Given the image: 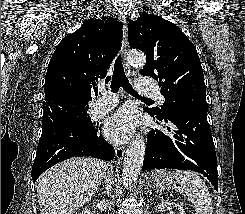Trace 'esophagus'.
Wrapping results in <instances>:
<instances>
[{"label":"esophagus","mask_w":245,"mask_h":214,"mask_svg":"<svg viewBox=\"0 0 245 214\" xmlns=\"http://www.w3.org/2000/svg\"><path fill=\"white\" fill-rule=\"evenodd\" d=\"M119 21L122 23L123 26V41H122V50H121V56L124 62L126 74L128 76H131V68L129 64L126 61L127 56V50H128V40H127V25H126V18L123 15H119ZM125 153L124 147L116 146L115 147V155L116 158L120 161L123 159Z\"/></svg>","instance_id":"obj_1"}]
</instances>
